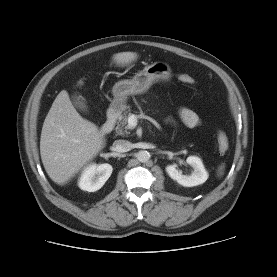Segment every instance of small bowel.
<instances>
[{
    "instance_id": "1",
    "label": "small bowel",
    "mask_w": 277,
    "mask_h": 277,
    "mask_svg": "<svg viewBox=\"0 0 277 277\" xmlns=\"http://www.w3.org/2000/svg\"><path fill=\"white\" fill-rule=\"evenodd\" d=\"M178 115L182 123L189 128L197 127L201 123L200 117L193 110L187 107L180 108Z\"/></svg>"
}]
</instances>
